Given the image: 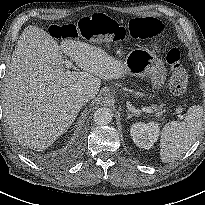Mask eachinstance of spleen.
Segmentation results:
<instances>
[{"label":"spleen","instance_id":"obj_1","mask_svg":"<svg viewBox=\"0 0 205 205\" xmlns=\"http://www.w3.org/2000/svg\"><path fill=\"white\" fill-rule=\"evenodd\" d=\"M204 110L201 106H191L183 121H170L162 129L160 156L169 163L184 154L196 141L202 123Z\"/></svg>","mask_w":205,"mask_h":205}]
</instances>
